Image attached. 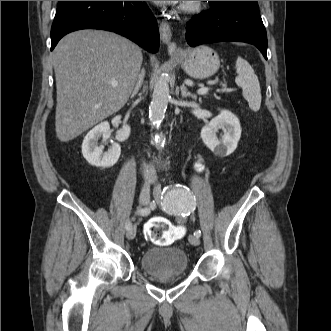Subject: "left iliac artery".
<instances>
[{
  "instance_id": "44dca946",
  "label": "left iliac artery",
  "mask_w": 331,
  "mask_h": 331,
  "mask_svg": "<svg viewBox=\"0 0 331 331\" xmlns=\"http://www.w3.org/2000/svg\"><path fill=\"white\" fill-rule=\"evenodd\" d=\"M164 191L162 206L168 214L186 218L195 210V197L188 187L175 184ZM194 235L200 237L201 231L196 230Z\"/></svg>"
}]
</instances>
